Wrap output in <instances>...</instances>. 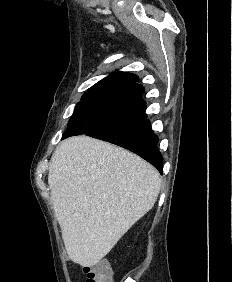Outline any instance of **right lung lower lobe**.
I'll use <instances>...</instances> for the list:
<instances>
[{
  "instance_id": "right-lung-lower-lobe-1",
  "label": "right lung lower lobe",
  "mask_w": 232,
  "mask_h": 282,
  "mask_svg": "<svg viewBox=\"0 0 232 282\" xmlns=\"http://www.w3.org/2000/svg\"><path fill=\"white\" fill-rule=\"evenodd\" d=\"M88 136L113 143L136 153L155 166L162 174L163 158L157 148L158 137L153 133L147 118L120 128L98 131Z\"/></svg>"
}]
</instances>
